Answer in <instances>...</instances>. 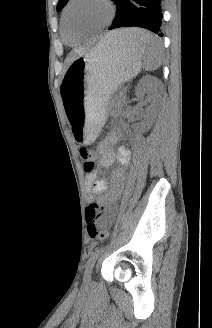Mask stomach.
Wrapping results in <instances>:
<instances>
[{
  "label": "stomach",
  "mask_w": 212,
  "mask_h": 328,
  "mask_svg": "<svg viewBox=\"0 0 212 328\" xmlns=\"http://www.w3.org/2000/svg\"><path fill=\"white\" fill-rule=\"evenodd\" d=\"M144 57L143 50L109 35L68 66L60 91L66 120L78 142L95 140L111 95L140 72Z\"/></svg>",
  "instance_id": "1"
}]
</instances>
